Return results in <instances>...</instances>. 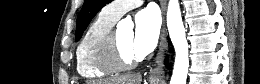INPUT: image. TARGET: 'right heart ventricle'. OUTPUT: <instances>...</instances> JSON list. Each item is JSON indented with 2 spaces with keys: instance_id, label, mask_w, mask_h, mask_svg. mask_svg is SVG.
I'll return each mask as SVG.
<instances>
[{
  "instance_id": "1",
  "label": "right heart ventricle",
  "mask_w": 260,
  "mask_h": 84,
  "mask_svg": "<svg viewBox=\"0 0 260 84\" xmlns=\"http://www.w3.org/2000/svg\"><path fill=\"white\" fill-rule=\"evenodd\" d=\"M115 22L102 10L87 28L76 51V69L81 77L99 79L114 73L99 66L98 50L100 41Z\"/></svg>"
}]
</instances>
